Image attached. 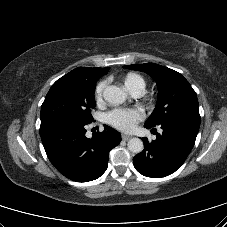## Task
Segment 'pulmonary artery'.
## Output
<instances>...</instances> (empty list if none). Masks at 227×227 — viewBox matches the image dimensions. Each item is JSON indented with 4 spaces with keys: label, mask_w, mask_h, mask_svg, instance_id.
I'll return each instance as SVG.
<instances>
[{
    "label": "pulmonary artery",
    "mask_w": 227,
    "mask_h": 227,
    "mask_svg": "<svg viewBox=\"0 0 227 227\" xmlns=\"http://www.w3.org/2000/svg\"><path fill=\"white\" fill-rule=\"evenodd\" d=\"M134 96L139 97L144 93V87H138L131 92Z\"/></svg>",
    "instance_id": "e3ab8cb5"
}]
</instances>
